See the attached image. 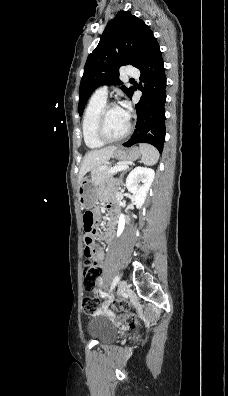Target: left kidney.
Segmentation results:
<instances>
[{"instance_id":"left-kidney-1","label":"left kidney","mask_w":228,"mask_h":396,"mask_svg":"<svg viewBox=\"0 0 228 396\" xmlns=\"http://www.w3.org/2000/svg\"><path fill=\"white\" fill-rule=\"evenodd\" d=\"M154 177V170L142 166H137L127 176L126 187L133 194L137 209L143 206Z\"/></svg>"}]
</instances>
